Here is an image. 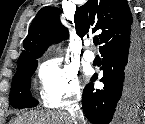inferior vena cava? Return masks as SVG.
I'll return each instance as SVG.
<instances>
[{
	"instance_id": "602c4592",
	"label": "inferior vena cava",
	"mask_w": 145,
	"mask_h": 124,
	"mask_svg": "<svg viewBox=\"0 0 145 124\" xmlns=\"http://www.w3.org/2000/svg\"><path fill=\"white\" fill-rule=\"evenodd\" d=\"M72 120L74 124H85L84 116L81 110H76L71 113Z\"/></svg>"
}]
</instances>
